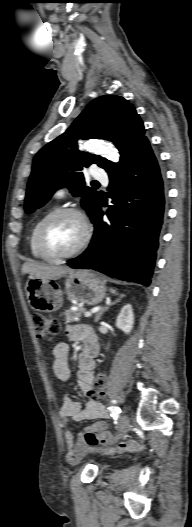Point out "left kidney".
<instances>
[{
	"instance_id": "left-kidney-1",
	"label": "left kidney",
	"mask_w": 192,
	"mask_h": 527,
	"mask_svg": "<svg viewBox=\"0 0 192 527\" xmlns=\"http://www.w3.org/2000/svg\"><path fill=\"white\" fill-rule=\"evenodd\" d=\"M134 324L133 309L130 304L125 305L116 319V327L126 334L130 333Z\"/></svg>"
}]
</instances>
